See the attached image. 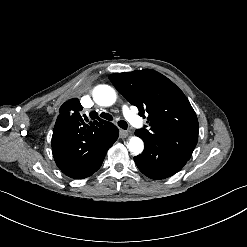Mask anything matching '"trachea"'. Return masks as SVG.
<instances>
[{
    "mask_svg": "<svg viewBox=\"0 0 247 247\" xmlns=\"http://www.w3.org/2000/svg\"><path fill=\"white\" fill-rule=\"evenodd\" d=\"M100 116H101L102 118L108 120V121H112V116H111L110 114L102 113ZM118 125H119V127H121L122 129H127V127H128L127 122H126V121H123V120H120V121L118 122Z\"/></svg>",
    "mask_w": 247,
    "mask_h": 247,
    "instance_id": "1",
    "label": "trachea"
}]
</instances>
